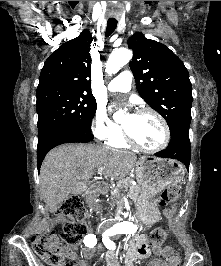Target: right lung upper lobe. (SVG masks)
I'll list each match as a JSON object with an SVG mask.
<instances>
[{
  "instance_id": "obj_1",
  "label": "right lung upper lobe",
  "mask_w": 221,
  "mask_h": 266,
  "mask_svg": "<svg viewBox=\"0 0 221 266\" xmlns=\"http://www.w3.org/2000/svg\"><path fill=\"white\" fill-rule=\"evenodd\" d=\"M92 36L89 30L62 44L45 61L39 77L37 90L62 88L91 92V56L90 43Z\"/></svg>"
}]
</instances>
